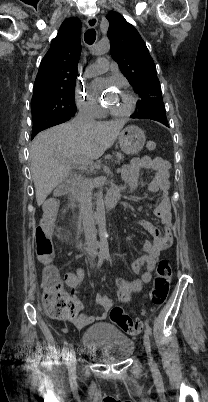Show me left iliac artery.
<instances>
[{
	"label": "left iliac artery",
	"mask_w": 208,
	"mask_h": 402,
	"mask_svg": "<svg viewBox=\"0 0 208 402\" xmlns=\"http://www.w3.org/2000/svg\"><path fill=\"white\" fill-rule=\"evenodd\" d=\"M106 259L111 263V259H110L109 254L106 255ZM145 325H146V331H147V333H148L149 335H151V334H152V329H151V327L149 326V324H148L147 321H145Z\"/></svg>",
	"instance_id": "1"
}]
</instances>
